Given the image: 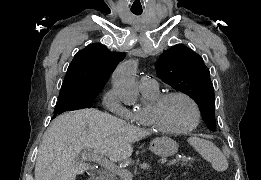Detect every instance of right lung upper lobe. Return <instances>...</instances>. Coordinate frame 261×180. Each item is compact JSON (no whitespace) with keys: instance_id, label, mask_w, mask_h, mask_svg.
Wrapping results in <instances>:
<instances>
[{"instance_id":"obj_1","label":"right lung upper lobe","mask_w":261,"mask_h":180,"mask_svg":"<svg viewBox=\"0 0 261 180\" xmlns=\"http://www.w3.org/2000/svg\"><path fill=\"white\" fill-rule=\"evenodd\" d=\"M124 57L123 52H111L102 44H91L75 54L61 88L103 89L111 72Z\"/></svg>"}]
</instances>
